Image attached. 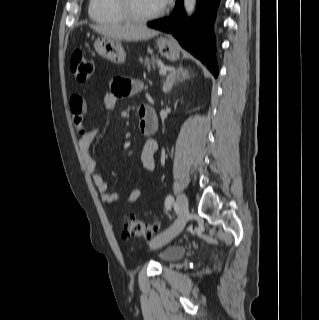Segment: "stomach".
<instances>
[{
    "mask_svg": "<svg viewBox=\"0 0 319 320\" xmlns=\"http://www.w3.org/2000/svg\"><path fill=\"white\" fill-rule=\"evenodd\" d=\"M156 44L163 57L171 61L179 59L180 51L178 45L171 37H160L157 39ZM94 48L101 57L108 61L116 64L125 62L126 53L119 39L101 36L95 40Z\"/></svg>",
    "mask_w": 319,
    "mask_h": 320,
    "instance_id": "0dacf381",
    "label": "stomach"
}]
</instances>
